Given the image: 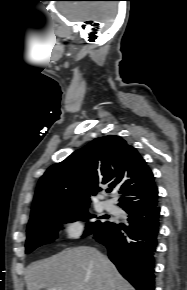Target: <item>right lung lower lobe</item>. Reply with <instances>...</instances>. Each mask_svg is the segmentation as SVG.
<instances>
[{"label": "right lung lower lobe", "mask_w": 187, "mask_h": 290, "mask_svg": "<svg viewBox=\"0 0 187 290\" xmlns=\"http://www.w3.org/2000/svg\"><path fill=\"white\" fill-rule=\"evenodd\" d=\"M124 210L129 226L111 222L95 232L94 238L107 247L110 260L137 290H154L160 207L156 201Z\"/></svg>", "instance_id": "1"}]
</instances>
